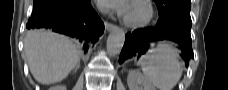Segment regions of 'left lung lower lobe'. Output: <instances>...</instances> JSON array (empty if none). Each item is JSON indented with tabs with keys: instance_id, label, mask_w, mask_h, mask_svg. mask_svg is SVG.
Listing matches in <instances>:
<instances>
[{
	"instance_id": "0a47b994",
	"label": "left lung lower lobe",
	"mask_w": 228,
	"mask_h": 90,
	"mask_svg": "<svg viewBox=\"0 0 228 90\" xmlns=\"http://www.w3.org/2000/svg\"><path fill=\"white\" fill-rule=\"evenodd\" d=\"M184 17L185 19L181 20L172 16L159 15V20L155 27L138 29L132 33H127L126 41L119 57V63L132 57L133 52H136L137 48H141L140 51L143 52V47L147 46L149 42L168 39L180 45L182 50L181 56L186 66H188V62L194 58L190 35L191 17L189 15Z\"/></svg>"
}]
</instances>
